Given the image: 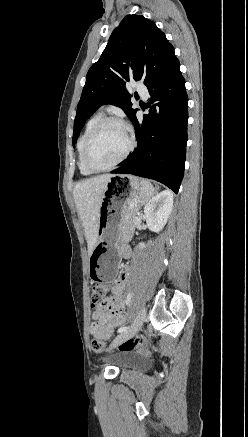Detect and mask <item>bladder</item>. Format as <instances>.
I'll use <instances>...</instances> for the list:
<instances>
[{"label": "bladder", "instance_id": "obj_1", "mask_svg": "<svg viewBox=\"0 0 248 437\" xmlns=\"http://www.w3.org/2000/svg\"><path fill=\"white\" fill-rule=\"evenodd\" d=\"M142 359H143L142 356L139 354H127L123 356L121 359H119V364L121 366H124V365L131 364L133 362L140 361Z\"/></svg>", "mask_w": 248, "mask_h": 437}]
</instances>
